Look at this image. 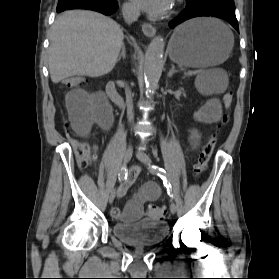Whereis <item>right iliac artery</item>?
Listing matches in <instances>:
<instances>
[{
  "label": "right iliac artery",
  "instance_id": "right-iliac-artery-1",
  "mask_svg": "<svg viewBox=\"0 0 279 279\" xmlns=\"http://www.w3.org/2000/svg\"><path fill=\"white\" fill-rule=\"evenodd\" d=\"M126 178H127V169H126V166H123L121 168V172L119 174V180L121 181V180H124ZM126 191H127V187H123L121 195L125 194Z\"/></svg>",
  "mask_w": 279,
  "mask_h": 279
}]
</instances>
